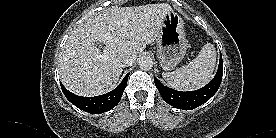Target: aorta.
<instances>
[{
	"label": "aorta",
	"instance_id": "obj_1",
	"mask_svg": "<svg viewBox=\"0 0 276 138\" xmlns=\"http://www.w3.org/2000/svg\"><path fill=\"white\" fill-rule=\"evenodd\" d=\"M138 65L141 70H150L153 66V60L151 57L143 56L139 59Z\"/></svg>",
	"mask_w": 276,
	"mask_h": 138
}]
</instances>
